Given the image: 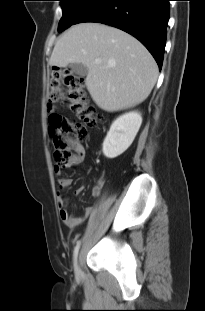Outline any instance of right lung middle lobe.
<instances>
[{
  "label": "right lung middle lobe",
  "instance_id": "right-lung-middle-lobe-1",
  "mask_svg": "<svg viewBox=\"0 0 205 311\" xmlns=\"http://www.w3.org/2000/svg\"><path fill=\"white\" fill-rule=\"evenodd\" d=\"M63 10L62 18L58 25V31L62 32L71 25L81 16L86 10L89 4L93 0H59Z\"/></svg>",
  "mask_w": 205,
  "mask_h": 311
}]
</instances>
